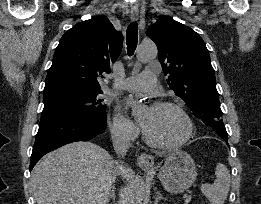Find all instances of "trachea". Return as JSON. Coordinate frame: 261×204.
Here are the masks:
<instances>
[{"mask_svg":"<svg viewBox=\"0 0 261 204\" xmlns=\"http://www.w3.org/2000/svg\"><path fill=\"white\" fill-rule=\"evenodd\" d=\"M138 42V24L137 22L131 23L126 32V44L128 55L132 56L137 47Z\"/></svg>","mask_w":261,"mask_h":204,"instance_id":"3493384b","label":"trachea"}]
</instances>
